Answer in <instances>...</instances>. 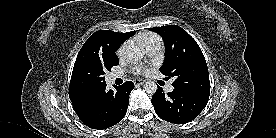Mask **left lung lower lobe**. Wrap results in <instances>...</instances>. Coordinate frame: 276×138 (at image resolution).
<instances>
[{"mask_svg": "<svg viewBox=\"0 0 276 138\" xmlns=\"http://www.w3.org/2000/svg\"><path fill=\"white\" fill-rule=\"evenodd\" d=\"M209 97L194 95L174 89L167 95L158 87L152 96L156 114L165 121L174 124H185L194 120L205 108Z\"/></svg>", "mask_w": 276, "mask_h": 138, "instance_id": "left-lung-lower-lobe-1", "label": "left lung lower lobe"}]
</instances>
